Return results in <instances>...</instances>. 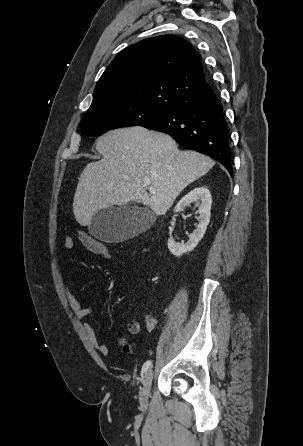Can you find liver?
I'll list each match as a JSON object with an SVG mask.
<instances>
[{
	"mask_svg": "<svg viewBox=\"0 0 303 446\" xmlns=\"http://www.w3.org/2000/svg\"><path fill=\"white\" fill-rule=\"evenodd\" d=\"M96 150L103 156L82 171L73 200V212L82 226L111 206L139 202L164 215L181 191L215 164L195 151H180L168 135L143 127L109 131L100 136ZM148 179L155 194L147 192Z\"/></svg>",
	"mask_w": 303,
	"mask_h": 446,
	"instance_id": "obj_1",
	"label": "liver"
}]
</instances>
